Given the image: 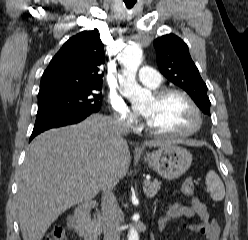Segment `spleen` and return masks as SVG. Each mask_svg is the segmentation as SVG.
I'll return each mask as SVG.
<instances>
[{
    "instance_id": "3e777b00",
    "label": "spleen",
    "mask_w": 248,
    "mask_h": 240,
    "mask_svg": "<svg viewBox=\"0 0 248 240\" xmlns=\"http://www.w3.org/2000/svg\"><path fill=\"white\" fill-rule=\"evenodd\" d=\"M206 186L210 193V197L214 201H221L225 196V188L218 174L210 170L206 175Z\"/></svg>"
}]
</instances>
